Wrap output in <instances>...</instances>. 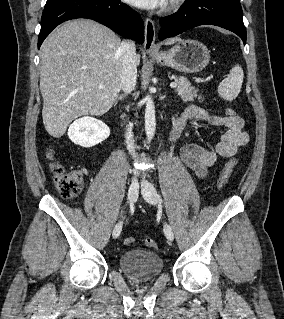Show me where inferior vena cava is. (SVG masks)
I'll return each instance as SVG.
<instances>
[{"instance_id": "obj_1", "label": "inferior vena cava", "mask_w": 284, "mask_h": 319, "mask_svg": "<svg viewBox=\"0 0 284 319\" xmlns=\"http://www.w3.org/2000/svg\"><path fill=\"white\" fill-rule=\"evenodd\" d=\"M121 49L123 51L121 89L126 94H129L133 91L137 78L135 43L131 40L123 41L121 44ZM125 138L128 151L132 156H135V147L131 127H128Z\"/></svg>"}]
</instances>
